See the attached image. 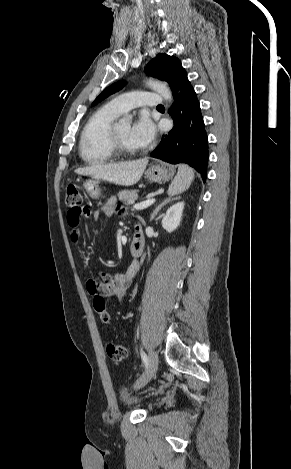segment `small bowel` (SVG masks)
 Returning a JSON list of instances; mask_svg holds the SVG:
<instances>
[{
  "instance_id": "1",
  "label": "small bowel",
  "mask_w": 291,
  "mask_h": 469,
  "mask_svg": "<svg viewBox=\"0 0 291 469\" xmlns=\"http://www.w3.org/2000/svg\"><path fill=\"white\" fill-rule=\"evenodd\" d=\"M114 212L113 202L110 201L106 206H104L100 211L94 214V217L97 218L99 215L111 216ZM87 215H80L76 210H69L67 213V222L71 228L70 236L73 242H78L81 237V220ZM139 262L133 261L130 263L128 268L119 273L113 275H106L103 277V280H98L95 278H89L86 281L87 291L94 297L97 293H105L108 297H115L119 300H123L127 293L128 289L136 276L139 270Z\"/></svg>"
}]
</instances>
